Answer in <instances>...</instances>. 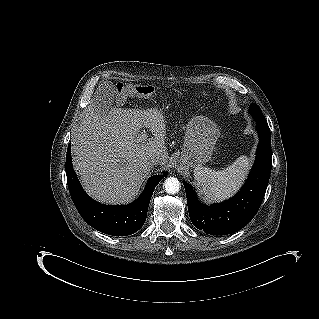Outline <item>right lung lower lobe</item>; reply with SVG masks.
<instances>
[{
  "label": "right lung lower lobe",
  "mask_w": 319,
  "mask_h": 319,
  "mask_svg": "<svg viewBox=\"0 0 319 319\" xmlns=\"http://www.w3.org/2000/svg\"><path fill=\"white\" fill-rule=\"evenodd\" d=\"M66 175L69 192L82 218L94 229L113 236H127L143 226L153 191L165 176L150 177L144 191L133 203L114 206L98 203L84 192L72 167L70 145L66 155Z\"/></svg>",
  "instance_id": "obj_1"
}]
</instances>
